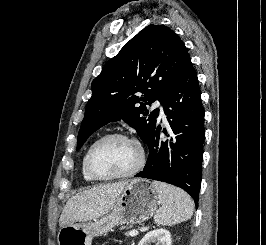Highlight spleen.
Segmentation results:
<instances>
[{
  "label": "spleen",
  "mask_w": 266,
  "mask_h": 245,
  "mask_svg": "<svg viewBox=\"0 0 266 245\" xmlns=\"http://www.w3.org/2000/svg\"><path fill=\"white\" fill-rule=\"evenodd\" d=\"M152 187L155 189L162 205L161 209L156 211L154 215V221L157 225L172 227V225H178V223L191 219L194 201L185 191L173 187V185L159 183V181H153Z\"/></svg>",
  "instance_id": "3e777b00"
}]
</instances>
